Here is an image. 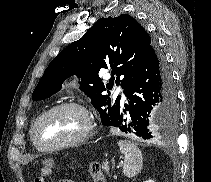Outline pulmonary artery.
<instances>
[{
  "mask_svg": "<svg viewBox=\"0 0 211 182\" xmlns=\"http://www.w3.org/2000/svg\"><path fill=\"white\" fill-rule=\"evenodd\" d=\"M117 92L121 94L122 100L125 101L126 100V96L123 93L122 89H118Z\"/></svg>",
  "mask_w": 211,
  "mask_h": 182,
  "instance_id": "obj_1",
  "label": "pulmonary artery"
}]
</instances>
